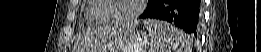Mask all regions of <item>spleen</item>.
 Returning <instances> with one entry per match:
<instances>
[{"label":"spleen","mask_w":261,"mask_h":52,"mask_svg":"<svg viewBox=\"0 0 261 52\" xmlns=\"http://www.w3.org/2000/svg\"><path fill=\"white\" fill-rule=\"evenodd\" d=\"M144 25L149 33L151 52H191V37L183 31L152 19L145 20Z\"/></svg>","instance_id":"obj_1"}]
</instances>
